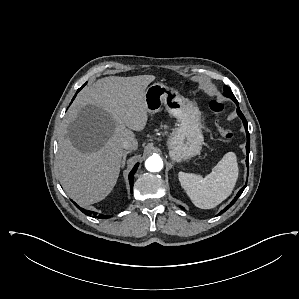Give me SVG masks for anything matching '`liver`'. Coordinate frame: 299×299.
<instances>
[{"label": "liver", "instance_id": "liver-1", "mask_svg": "<svg viewBox=\"0 0 299 299\" xmlns=\"http://www.w3.org/2000/svg\"><path fill=\"white\" fill-rule=\"evenodd\" d=\"M154 80L153 75L109 76L85 87L75 99L60 136L57 167L64 190L80 205L97 203L113 190L122 142L147 124L145 92ZM78 120L84 126L76 130L72 125Z\"/></svg>", "mask_w": 299, "mask_h": 299}]
</instances>
